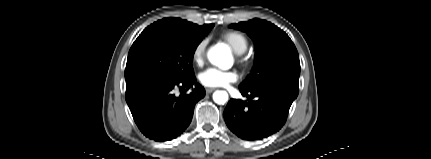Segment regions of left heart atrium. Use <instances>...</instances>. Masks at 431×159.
<instances>
[{
    "label": "left heart atrium",
    "instance_id": "1",
    "mask_svg": "<svg viewBox=\"0 0 431 159\" xmlns=\"http://www.w3.org/2000/svg\"><path fill=\"white\" fill-rule=\"evenodd\" d=\"M200 82L206 87H225L237 81L238 74L235 71H224L218 68H208L199 76Z\"/></svg>",
    "mask_w": 431,
    "mask_h": 159
}]
</instances>
